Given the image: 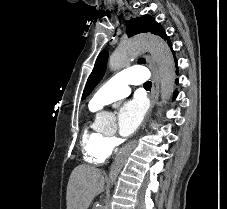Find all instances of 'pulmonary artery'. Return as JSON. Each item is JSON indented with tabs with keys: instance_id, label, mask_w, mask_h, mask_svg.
<instances>
[{
	"instance_id": "obj_1",
	"label": "pulmonary artery",
	"mask_w": 227,
	"mask_h": 209,
	"mask_svg": "<svg viewBox=\"0 0 227 209\" xmlns=\"http://www.w3.org/2000/svg\"><path fill=\"white\" fill-rule=\"evenodd\" d=\"M146 70V66H130L129 70L116 73V76L104 84V88L95 91V95H92L91 106L98 109L116 98L127 96L130 93L131 84L149 83L152 73H147Z\"/></svg>"
}]
</instances>
